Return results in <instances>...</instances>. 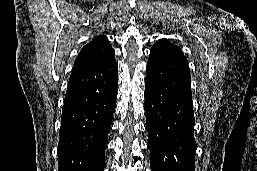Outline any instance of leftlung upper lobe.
<instances>
[{
  "mask_svg": "<svg viewBox=\"0 0 257 171\" xmlns=\"http://www.w3.org/2000/svg\"><path fill=\"white\" fill-rule=\"evenodd\" d=\"M170 46H175V45L166 39H160L153 45V47H170Z\"/></svg>",
  "mask_w": 257,
  "mask_h": 171,
  "instance_id": "obj_1",
  "label": "left lung upper lobe"
}]
</instances>
